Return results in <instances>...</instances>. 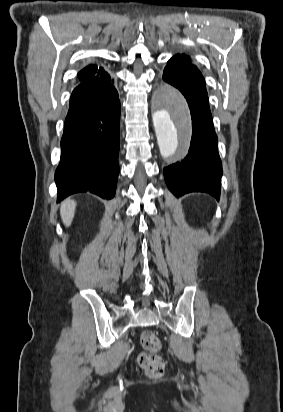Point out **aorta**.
<instances>
[{
  "label": "aorta",
  "instance_id": "aorta-1",
  "mask_svg": "<svg viewBox=\"0 0 283 412\" xmlns=\"http://www.w3.org/2000/svg\"><path fill=\"white\" fill-rule=\"evenodd\" d=\"M163 107L153 114L155 133L163 157L175 155L190 133L189 109L184 97L175 89L161 92Z\"/></svg>",
  "mask_w": 283,
  "mask_h": 412
}]
</instances>
